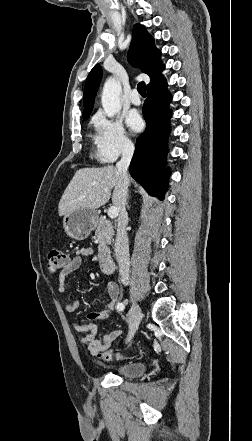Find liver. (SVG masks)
<instances>
[{"label":"liver","mask_w":252,"mask_h":441,"mask_svg":"<svg viewBox=\"0 0 252 441\" xmlns=\"http://www.w3.org/2000/svg\"><path fill=\"white\" fill-rule=\"evenodd\" d=\"M121 182L119 172L112 165L79 169L60 199L59 216H65L78 209L95 210L103 206L109 201L113 188L112 203L119 209Z\"/></svg>","instance_id":"liver-1"}]
</instances>
